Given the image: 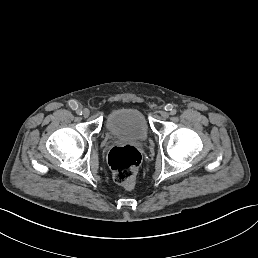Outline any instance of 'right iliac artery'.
I'll return each mask as SVG.
<instances>
[{
    "mask_svg": "<svg viewBox=\"0 0 258 258\" xmlns=\"http://www.w3.org/2000/svg\"><path fill=\"white\" fill-rule=\"evenodd\" d=\"M76 113H77L78 115H82V114H83V112H82L81 110H77Z\"/></svg>",
    "mask_w": 258,
    "mask_h": 258,
    "instance_id": "right-iliac-artery-1",
    "label": "right iliac artery"
}]
</instances>
